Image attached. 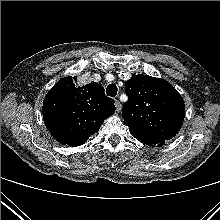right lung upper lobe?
<instances>
[{
    "label": "right lung upper lobe",
    "mask_w": 220,
    "mask_h": 220,
    "mask_svg": "<svg viewBox=\"0 0 220 220\" xmlns=\"http://www.w3.org/2000/svg\"><path fill=\"white\" fill-rule=\"evenodd\" d=\"M76 82L71 76L59 80L47 93L42 110L51 135L72 147L84 144L115 112L114 102L105 96L102 85L91 82L77 86Z\"/></svg>",
    "instance_id": "cb5924a9"
}]
</instances>
